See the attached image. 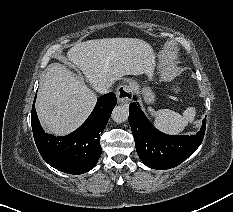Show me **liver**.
<instances>
[{"mask_svg":"<svg viewBox=\"0 0 233 212\" xmlns=\"http://www.w3.org/2000/svg\"><path fill=\"white\" fill-rule=\"evenodd\" d=\"M67 60L77 66L95 88L103 81L125 75L150 73L154 51L138 38H103L79 42L67 52ZM95 93L63 64L53 63L39 90L36 110L44 129L57 136L78 128L96 104Z\"/></svg>","mask_w":233,"mask_h":212,"instance_id":"liver-1","label":"liver"}]
</instances>
